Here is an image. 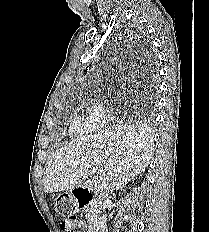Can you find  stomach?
Listing matches in <instances>:
<instances>
[{
  "label": "stomach",
  "instance_id": "obj_1",
  "mask_svg": "<svg viewBox=\"0 0 209 232\" xmlns=\"http://www.w3.org/2000/svg\"><path fill=\"white\" fill-rule=\"evenodd\" d=\"M75 205L76 198L74 194L56 195V211H59V218H64V221H79Z\"/></svg>",
  "mask_w": 209,
  "mask_h": 232
}]
</instances>
